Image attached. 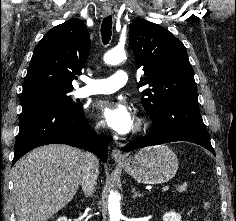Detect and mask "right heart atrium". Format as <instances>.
<instances>
[{
	"label": "right heart atrium",
	"mask_w": 236,
	"mask_h": 221,
	"mask_svg": "<svg viewBox=\"0 0 236 221\" xmlns=\"http://www.w3.org/2000/svg\"><path fill=\"white\" fill-rule=\"evenodd\" d=\"M103 125L101 124V123H98L97 125H96V127H95V129H96V131L97 132H101L102 130H103Z\"/></svg>",
	"instance_id": "1"
}]
</instances>
